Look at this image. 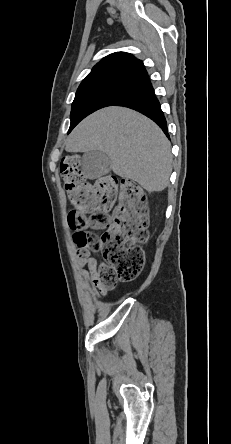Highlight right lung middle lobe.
<instances>
[{
  "label": "right lung middle lobe",
  "instance_id": "1",
  "mask_svg": "<svg viewBox=\"0 0 231 444\" xmlns=\"http://www.w3.org/2000/svg\"><path fill=\"white\" fill-rule=\"evenodd\" d=\"M126 93V89L112 84L78 89L72 103L69 132L83 118L100 108L112 105Z\"/></svg>",
  "mask_w": 231,
  "mask_h": 444
}]
</instances>
